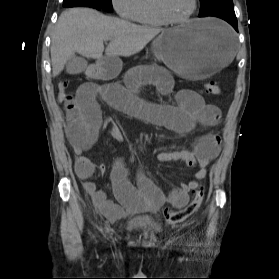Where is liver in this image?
I'll return each mask as SVG.
<instances>
[{
    "instance_id": "liver-1",
    "label": "liver",
    "mask_w": 279,
    "mask_h": 279,
    "mask_svg": "<svg viewBox=\"0 0 279 279\" xmlns=\"http://www.w3.org/2000/svg\"><path fill=\"white\" fill-rule=\"evenodd\" d=\"M162 31L109 17L90 8L68 9L60 15L51 39L53 77L63 71L75 52L100 61L103 42L110 41L105 57H129L140 52Z\"/></svg>"
}]
</instances>
